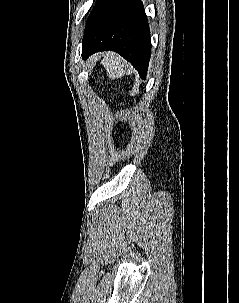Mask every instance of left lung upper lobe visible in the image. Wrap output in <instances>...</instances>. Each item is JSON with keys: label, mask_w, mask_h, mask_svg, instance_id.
<instances>
[{"label": "left lung upper lobe", "mask_w": 239, "mask_h": 303, "mask_svg": "<svg viewBox=\"0 0 239 303\" xmlns=\"http://www.w3.org/2000/svg\"><path fill=\"white\" fill-rule=\"evenodd\" d=\"M116 1L117 0H97L88 17L83 40L99 25Z\"/></svg>", "instance_id": "1"}]
</instances>
